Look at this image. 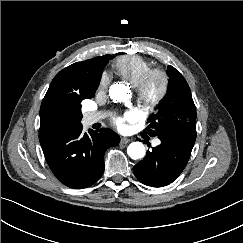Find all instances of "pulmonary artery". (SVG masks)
Listing matches in <instances>:
<instances>
[{
    "label": "pulmonary artery",
    "instance_id": "e3ab8cb5",
    "mask_svg": "<svg viewBox=\"0 0 243 243\" xmlns=\"http://www.w3.org/2000/svg\"><path fill=\"white\" fill-rule=\"evenodd\" d=\"M105 117V113L98 111V112H89L86 113L83 117V123L86 126H90L96 122H99ZM160 143L159 140H154L153 144L158 145Z\"/></svg>",
    "mask_w": 243,
    "mask_h": 243
}]
</instances>
